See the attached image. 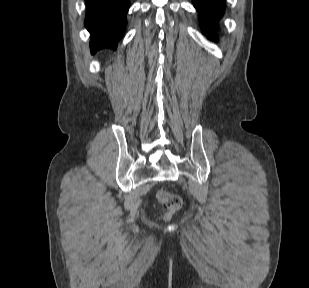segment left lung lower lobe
<instances>
[{
    "label": "left lung lower lobe",
    "mask_w": 309,
    "mask_h": 288,
    "mask_svg": "<svg viewBox=\"0 0 309 288\" xmlns=\"http://www.w3.org/2000/svg\"><path fill=\"white\" fill-rule=\"evenodd\" d=\"M193 4L199 12L203 33L215 35L217 21L225 10V0H193Z\"/></svg>",
    "instance_id": "0a47b994"
}]
</instances>
